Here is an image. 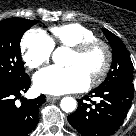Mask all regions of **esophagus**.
Segmentation results:
<instances>
[{
    "label": "esophagus",
    "mask_w": 136,
    "mask_h": 136,
    "mask_svg": "<svg viewBox=\"0 0 136 136\" xmlns=\"http://www.w3.org/2000/svg\"><path fill=\"white\" fill-rule=\"evenodd\" d=\"M58 99H60L59 96H51V95L46 96L47 101L58 100Z\"/></svg>",
    "instance_id": "esophagus-1"
}]
</instances>
